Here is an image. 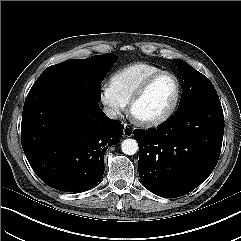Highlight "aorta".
Here are the masks:
<instances>
[{
  "label": "aorta",
  "instance_id": "1",
  "mask_svg": "<svg viewBox=\"0 0 241 241\" xmlns=\"http://www.w3.org/2000/svg\"><path fill=\"white\" fill-rule=\"evenodd\" d=\"M138 143L134 139H125L121 143L122 152L126 155H134L138 151Z\"/></svg>",
  "mask_w": 241,
  "mask_h": 241
}]
</instances>
